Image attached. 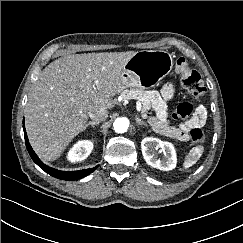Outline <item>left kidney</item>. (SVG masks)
I'll return each mask as SVG.
<instances>
[{
	"label": "left kidney",
	"instance_id": "1",
	"mask_svg": "<svg viewBox=\"0 0 243 243\" xmlns=\"http://www.w3.org/2000/svg\"><path fill=\"white\" fill-rule=\"evenodd\" d=\"M141 150L147 164L154 168L169 171L176 167V152L170 142L153 137L144 138L141 142ZM157 150L164 154L162 158H158Z\"/></svg>",
	"mask_w": 243,
	"mask_h": 243
}]
</instances>
